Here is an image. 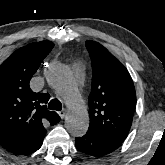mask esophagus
<instances>
[{
	"instance_id": "34e87169",
	"label": "esophagus",
	"mask_w": 165,
	"mask_h": 165,
	"mask_svg": "<svg viewBox=\"0 0 165 165\" xmlns=\"http://www.w3.org/2000/svg\"><path fill=\"white\" fill-rule=\"evenodd\" d=\"M59 116L63 119L66 116V111L65 110H61L58 112Z\"/></svg>"
}]
</instances>
